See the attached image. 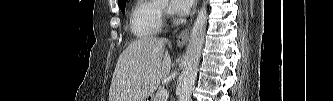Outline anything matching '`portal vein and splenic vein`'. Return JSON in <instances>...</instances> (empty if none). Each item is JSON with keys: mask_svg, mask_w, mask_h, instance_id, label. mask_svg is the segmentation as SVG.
<instances>
[{"mask_svg": "<svg viewBox=\"0 0 333 101\" xmlns=\"http://www.w3.org/2000/svg\"><path fill=\"white\" fill-rule=\"evenodd\" d=\"M169 96V93L166 89H161L160 90V98L162 101H165Z\"/></svg>", "mask_w": 333, "mask_h": 101, "instance_id": "portal-vein-and-splenic-vein-1", "label": "portal vein and splenic vein"}]
</instances>
